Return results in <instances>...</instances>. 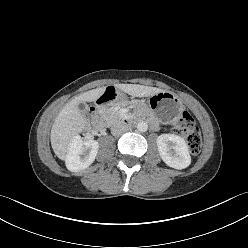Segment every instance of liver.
Listing matches in <instances>:
<instances>
[{
	"instance_id": "obj_1",
	"label": "liver",
	"mask_w": 248,
	"mask_h": 248,
	"mask_svg": "<svg viewBox=\"0 0 248 248\" xmlns=\"http://www.w3.org/2000/svg\"><path fill=\"white\" fill-rule=\"evenodd\" d=\"M116 87L133 97H150L162 92V89L139 84H117ZM106 87L87 91L69 101L57 115L51 129V145L56 156L65 160L70 144L75 136L86 129V119L78 105L83 102L96 101Z\"/></svg>"
}]
</instances>
